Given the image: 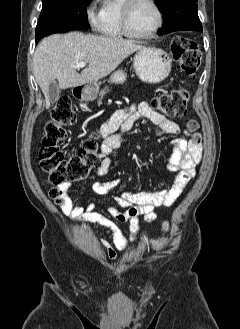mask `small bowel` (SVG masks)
Wrapping results in <instances>:
<instances>
[{
    "instance_id": "1",
    "label": "small bowel",
    "mask_w": 240,
    "mask_h": 329,
    "mask_svg": "<svg viewBox=\"0 0 240 329\" xmlns=\"http://www.w3.org/2000/svg\"><path fill=\"white\" fill-rule=\"evenodd\" d=\"M140 121H146L157 126V134L179 135L183 132L186 136H192L188 128L180 127L176 122L167 119L156 111L147 101L132 104L128 108L117 110L100 131L101 148L98 153L99 165L94 174L97 177L106 176L113 164L112 153L123 141L124 136ZM201 162V147L185 138L177 137L172 142V154L168 168L176 171L174 182L163 189L152 192L122 193L113 196V201L123 211L115 206L107 208L109 216L97 212L96 205L89 202L83 205L80 201L75 204L66 196L65 207L68 215L74 223H93L101 225L110 241L102 240L101 244L111 261L118 259V254L126 252L130 245L134 244L140 234L138 218L142 216L147 223L156 218L157 207L171 206L181 195L182 191L195 175V169ZM120 184V180L109 183L94 182L92 189L99 194H109ZM70 184L58 186V190L66 193ZM118 223L129 225L130 236L127 238Z\"/></svg>"
}]
</instances>
